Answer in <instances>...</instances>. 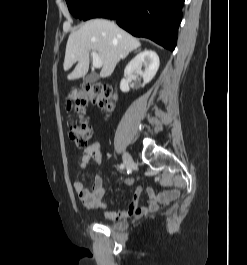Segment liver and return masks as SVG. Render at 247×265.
<instances>
[{"instance_id": "6515ba94", "label": "liver", "mask_w": 247, "mask_h": 265, "mask_svg": "<svg viewBox=\"0 0 247 265\" xmlns=\"http://www.w3.org/2000/svg\"><path fill=\"white\" fill-rule=\"evenodd\" d=\"M141 43L135 37L119 28L114 22L94 19L86 22L68 38L63 68L69 70L77 62L68 80L84 77L89 69V53L96 51L102 60V78L109 77L117 63L139 48Z\"/></svg>"}]
</instances>
